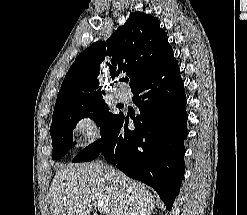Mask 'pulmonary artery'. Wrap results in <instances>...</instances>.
Segmentation results:
<instances>
[{
	"label": "pulmonary artery",
	"mask_w": 247,
	"mask_h": 215,
	"mask_svg": "<svg viewBox=\"0 0 247 215\" xmlns=\"http://www.w3.org/2000/svg\"><path fill=\"white\" fill-rule=\"evenodd\" d=\"M115 98L120 101V102H125L128 99V94L125 90L123 89H119L116 93H115Z\"/></svg>",
	"instance_id": "1"
}]
</instances>
